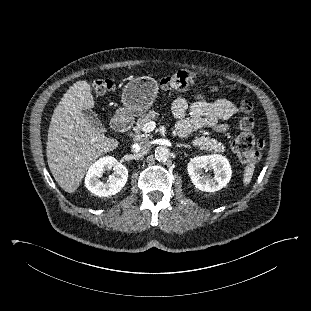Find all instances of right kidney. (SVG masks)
Returning <instances> with one entry per match:
<instances>
[{"mask_svg":"<svg viewBox=\"0 0 311 311\" xmlns=\"http://www.w3.org/2000/svg\"><path fill=\"white\" fill-rule=\"evenodd\" d=\"M106 169H112V178L104 183L100 180ZM128 169L112 156H105L93 163L85 177V186L99 197L111 196L118 193L126 184Z\"/></svg>","mask_w":311,"mask_h":311,"instance_id":"obj_1","label":"right kidney"}]
</instances>
